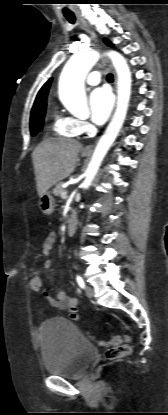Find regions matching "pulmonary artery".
<instances>
[{
    "label": "pulmonary artery",
    "mask_w": 168,
    "mask_h": 415,
    "mask_svg": "<svg viewBox=\"0 0 168 415\" xmlns=\"http://www.w3.org/2000/svg\"><path fill=\"white\" fill-rule=\"evenodd\" d=\"M100 79L101 73L99 71H93L87 76L86 83L88 85L95 86L100 82Z\"/></svg>",
    "instance_id": "1"
}]
</instances>
